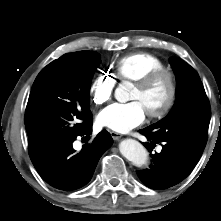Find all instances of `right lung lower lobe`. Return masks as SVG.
I'll return each instance as SVG.
<instances>
[{
	"label": "right lung lower lobe",
	"instance_id": "98d812e1",
	"mask_svg": "<svg viewBox=\"0 0 221 221\" xmlns=\"http://www.w3.org/2000/svg\"><path fill=\"white\" fill-rule=\"evenodd\" d=\"M92 133V119L78 136L89 137ZM84 138V137H83ZM66 141H47L29 144L31 161L40 176L54 188L71 191L86 185L92 178L100 157L112 145L111 135L103 130L89 145L75 152L72 143Z\"/></svg>",
	"mask_w": 221,
	"mask_h": 221
}]
</instances>
